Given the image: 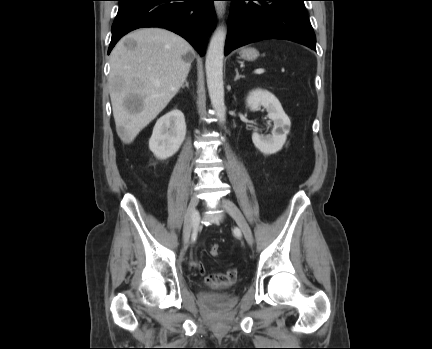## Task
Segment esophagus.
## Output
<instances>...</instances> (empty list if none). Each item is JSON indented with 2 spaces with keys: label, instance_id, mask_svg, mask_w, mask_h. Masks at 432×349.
Here are the masks:
<instances>
[{
  "label": "esophagus",
  "instance_id": "obj_1",
  "mask_svg": "<svg viewBox=\"0 0 432 349\" xmlns=\"http://www.w3.org/2000/svg\"><path fill=\"white\" fill-rule=\"evenodd\" d=\"M215 9H216L217 16L219 18H222L226 11L225 5L220 1H215Z\"/></svg>",
  "mask_w": 432,
  "mask_h": 349
}]
</instances>
